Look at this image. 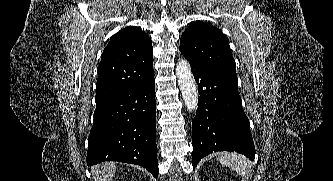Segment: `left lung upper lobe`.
<instances>
[{
  "label": "left lung upper lobe",
  "instance_id": "left-lung-upper-lobe-1",
  "mask_svg": "<svg viewBox=\"0 0 333 181\" xmlns=\"http://www.w3.org/2000/svg\"><path fill=\"white\" fill-rule=\"evenodd\" d=\"M180 51L189 62L238 81L229 43L213 25L192 23L181 36Z\"/></svg>",
  "mask_w": 333,
  "mask_h": 181
}]
</instances>
